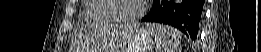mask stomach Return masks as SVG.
I'll use <instances>...</instances> for the list:
<instances>
[{
	"label": "stomach",
	"mask_w": 261,
	"mask_h": 52,
	"mask_svg": "<svg viewBox=\"0 0 261 52\" xmlns=\"http://www.w3.org/2000/svg\"><path fill=\"white\" fill-rule=\"evenodd\" d=\"M122 32L116 37L117 52H152L155 39L150 30L143 28L113 27Z\"/></svg>",
	"instance_id": "stomach-1"
}]
</instances>
